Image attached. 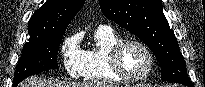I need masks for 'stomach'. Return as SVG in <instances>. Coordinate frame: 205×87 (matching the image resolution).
I'll list each match as a JSON object with an SVG mask.
<instances>
[{"instance_id": "stomach-1", "label": "stomach", "mask_w": 205, "mask_h": 87, "mask_svg": "<svg viewBox=\"0 0 205 87\" xmlns=\"http://www.w3.org/2000/svg\"><path fill=\"white\" fill-rule=\"evenodd\" d=\"M137 87H145V86H143V85H139V86H137Z\"/></svg>"}]
</instances>
